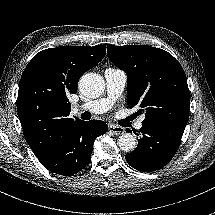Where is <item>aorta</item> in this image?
Returning <instances> with one entry per match:
<instances>
[{"instance_id":"aorta-1","label":"aorta","mask_w":215,"mask_h":215,"mask_svg":"<svg viewBox=\"0 0 215 215\" xmlns=\"http://www.w3.org/2000/svg\"><path fill=\"white\" fill-rule=\"evenodd\" d=\"M104 79L102 76L94 73H88L81 77L79 88L81 92L90 98L99 97L104 90ZM119 148L124 152H132L137 147L136 138L131 133H123L117 140Z\"/></svg>"}]
</instances>
